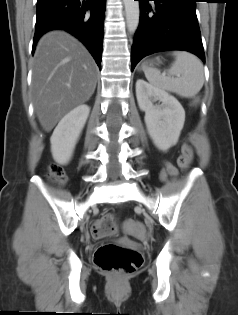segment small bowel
<instances>
[{
    "instance_id": "1",
    "label": "small bowel",
    "mask_w": 238,
    "mask_h": 315,
    "mask_svg": "<svg viewBox=\"0 0 238 315\" xmlns=\"http://www.w3.org/2000/svg\"><path fill=\"white\" fill-rule=\"evenodd\" d=\"M177 174V170L171 164L166 163L161 173V178L166 180L168 177H173ZM141 226V225H140Z\"/></svg>"
}]
</instances>
